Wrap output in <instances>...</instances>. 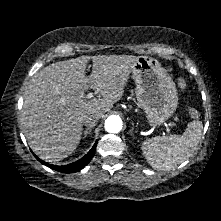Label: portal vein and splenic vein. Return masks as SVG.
<instances>
[{"label": "portal vein and splenic vein", "mask_w": 221, "mask_h": 221, "mask_svg": "<svg viewBox=\"0 0 221 221\" xmlns=\"http://www.w3.org/2000/svg\"><path fill=\"white\" fill-rule=\"evenodd\" d=\"M92 97H94V95L92 93H89L86 95V98H88V99L92 98ZM165 126H166V128H168V126H172V124H165Z\"/></svg>", "instance_id": "18ae733b"}]
</instances>
